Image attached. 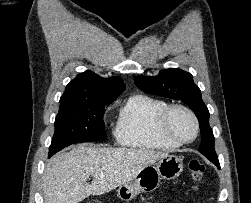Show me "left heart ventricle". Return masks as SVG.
<instances>
[{"instance_id": "1", "label": "left heart ventricle", "mask_w": 251, "mask_h": 203, "mask_svg": "<svg viewBox=\"0 0 251 203\" xmlns=\"http://www.w3.org/2000/svg\"><path fill=\"white\" fill-rule=\"evenodd\" d=\"M170 131L180 139H190L195 132L192 118L183 110L173 111L169 121Z\"/></svg>"}]
</instances>
